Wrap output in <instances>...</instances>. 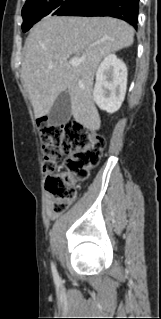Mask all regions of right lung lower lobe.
<instances>
[{
  "mask_svg": "<svg viewBox=\"0 0 161 319\" xmlns=\"http://www.w3.org/2000/svg\"><path fill=\"white\" fill-rule=\"evenodd\" d=\"M139 0H86L68 16H111L137 28Z\"/></svg>",
  "mask_w": 161,
  "mask_h": 319,
  "instance_id": "98d812e1",
  "label": "right lung lower lobe"
}]
</instances>
